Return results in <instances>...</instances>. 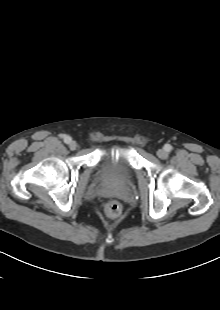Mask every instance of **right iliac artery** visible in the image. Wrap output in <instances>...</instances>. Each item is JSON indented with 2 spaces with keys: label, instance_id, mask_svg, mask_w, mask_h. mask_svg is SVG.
<instances>
[{
  "label": "right iliac artery",
  "instance_id": "1",
  "mask_svg": "<svg viewBox=\"0 0 220 310\" xmlns=\"http://www.w3.org/2000/svg\"><path fill=\"white\" fill-rule=\"evenodd\" d=\"M71 137L70 136H64V142L66 143V144H69L70 142H71Z\"/></svg>",
  "mask_w": 220,
  "mask_h": 310
}]
</instances>
